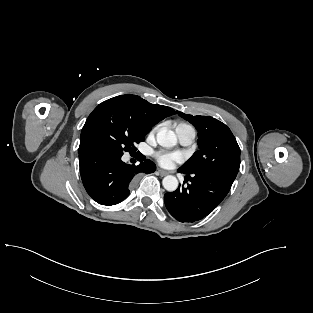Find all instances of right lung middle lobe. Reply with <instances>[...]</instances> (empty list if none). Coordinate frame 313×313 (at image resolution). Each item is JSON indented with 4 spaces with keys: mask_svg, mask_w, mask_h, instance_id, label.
Masks as SVG:
<instances>
[{
    "mask_svg": "<svg viewBox=\"0 0 313 313\" xmlns=\"http://www.w3.org/2000/svg\"><path fill=\"white\" fill-rule=\"evenodd\" d=\"M150 130L141 125L127 109L116 104H107L93 120L89 135L93 148L117 151L136 150L135 143L145 140Z\"/></svg>",
    "mask_w": 313,
    "mask_h": 313,
    "instance_id": "obj_1",
    "label": "right lung middle lobe"
}]
</instances>
